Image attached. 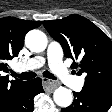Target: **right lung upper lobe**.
I'll return each instance as SVG.
<instances>
[{"instance_id": "obj_1", "label": "right lung upper lobe", "mask_w": 112, "mask_h": 112, "mask_svg": "<svg viewBox=\"0 0 112 112\" xmlns=\"http://www.w3.org/2000/svg\"><path fill=\"white\" fill-rule=\"evenodd\" d=\"M41 23L14 17L0 19V112L8 106L18 87L25 82L19 79L9 80L8 75L4 74L9 71L6 61L18 56L26 33Z\"/></svg>"}]
</instances>
